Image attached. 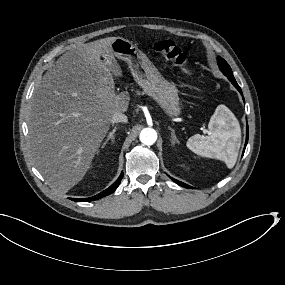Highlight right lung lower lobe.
I'll list each match as a JSON object with an SVG mask.
<instances>
[{
    "instance_id": "1",
    "label": "right lung lower lobe",
    "mask_w": 285,
    "mask_h": 285,
    "mask_svg": "<svg viewBox=\"0 0 285 285\" xmlns=\"http://www.w3.org/2000/svg\"><path fill=\"white\" fill-rule=\"evenodd\" d=\"M122 178H123V173H121L119 178L109 188H107L106 190L102 191L101 193H99L93 197H90V198H71V200L79 201V202H87V201L97 200V199H100V198L105 197L107 195H110L119 186Z\"/></svg>"
}]
</instances>
